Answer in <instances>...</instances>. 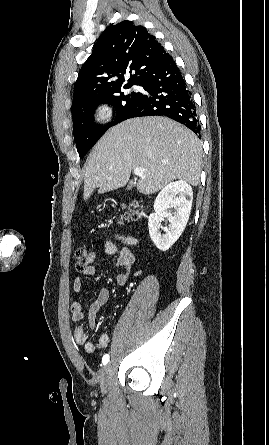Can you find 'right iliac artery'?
Segmentation results:
<instances>
[{
	"label": "right iliac artery",
	"mask_w": 269,
	"mask_h": 445,
	"mask_svg": "<svg viewBox=\"0 0 269 445\" xmlns=\"http://www.w3.org/2000/svg\"><path fill=\"white\" fill-rule=\"evenodd\" d=\"M102 362H103L104 365H106L109 362V355L108 354L103 356Z\"/></svg>",
	"instance_id": "1"
}]
</instances>
